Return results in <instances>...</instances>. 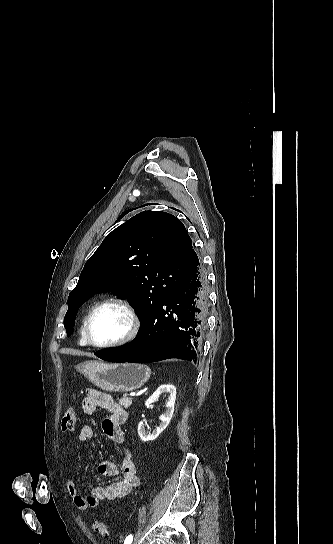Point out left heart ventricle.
Masks as SVG:
<instances>
[{
  "label": "left heart ventricle",
  "instance_id": "1",
  "mask_svg": "<svg viewBox=\"0 0 333 544\" xmlns=\"http://www.w3.org/2000/svg\"><path fill=\"white\" fill-rule=\"evenodd\" d=\"M130 318L123 307L107 304L93 316L90 334L96 343H110L122 338L129 330Z\"/></svg>",
  "mask_w": 333,
  "mask_h": 544
}]
</instances>
